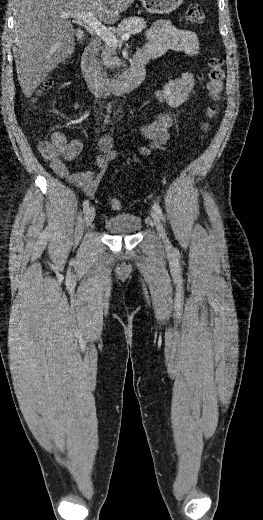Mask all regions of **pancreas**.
<instances>
[{
	"label": "pancreas",
	"mask_w": 263,
	"mask_h": 520,
	"mask_svg": "<svg viewBox=\"0 0 263 520\" xmlns=\"http://www.w3.org/2000/svg\"><path fill=\"white\" fill-rule=\"evenodd\" d=\"M145 28L146 21L143 18L133 16L123 19L118 25L115 34L117 36H121L127 32L137 34ZM100 48L102 49L101 58L98 60L100 70H103L102 66L114 68L120 65L119 58L116 56V46L104 44Z\"/></svg>",
	"instance_id": "pancreas-1"
}]
</instances>
